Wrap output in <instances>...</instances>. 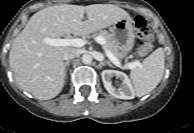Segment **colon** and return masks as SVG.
<instances>
[{
	"instance_id": "5ec220e1",
	"label": "colon",
	"mask_w": 194,
	"mask_h": 133,
	"mask_svg": "<svg viewBox=\"0 0 194 133\" xmlns=\"http://www.w3.org/2000/svg\"><path fill=\"white\" fill-rule=\"evenodd\" d=\"M135 28L140 39L135 50V55L137 57H144L151 51L153 32L142 16L135 18Z\"/></svg>"
}]
</instances>
